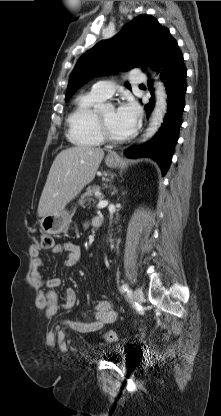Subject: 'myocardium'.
Returning <instances> with one entry per match:
<instances>
[{"instance_id":"myocardium-1","label":"myocardium","mask_w":221,"mask_h":416,"mask_svg":"<svg viewBox=\"0 0 221 416\" xmlns=\"http://www.w3.org/2000/svg\"><path fill=\"white\" fill-rule=\"evenodd\" d=\"M97 124H98L100 134H101L104 141H107V142L112 143V144H122V143L126 142L127 140H129V137H124V138L114 137L111 134L108 126L104 122L100 111L97 112Z\"/></svg>"}]
</instances>
